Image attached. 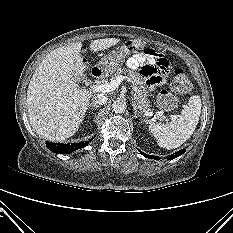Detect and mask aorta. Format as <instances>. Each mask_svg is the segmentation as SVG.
<instances>
[{
  "label": "aorta",
  "mask_w": 233,
  "mask_h": 233,
  "mask_svg": "<svg viewBox=\"0 0 233 233\" xmlns=\"http://www.w3.org/2000/svg\"><path fill=\"white\" fill-rule=\"evenodd\" d=\"M127 108V103L125 99L117 98L112 103V109L115 113H123Z\"/></svg>",
  "instance_id": "obj_1"
}]
</instances>
